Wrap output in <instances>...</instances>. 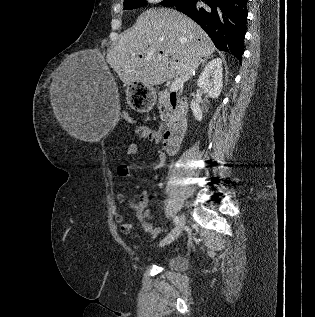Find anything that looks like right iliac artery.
Returning a JSON list of instances; mask_svg holds the SVG:
<instances>
[{
	"label": "right iliac artery",
	"instance_id": "obj_1",
	"mask_svg": "<svg viewBox=\"0 0 315 317\" xmlns=\"http://www.w3.org/2000/svg\"><path fill=\"white\" fill-rule=\"evenodd\" d=\"M179 222V217L178 216H175L174 218V223L177 224Z\"/></svg>",
	"mask_w": 315,
	"mask_h": 317
}]
</instances>
